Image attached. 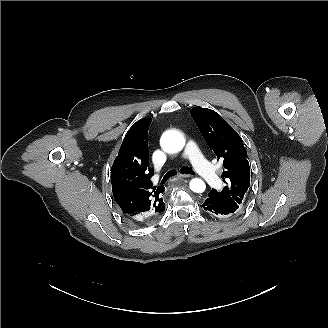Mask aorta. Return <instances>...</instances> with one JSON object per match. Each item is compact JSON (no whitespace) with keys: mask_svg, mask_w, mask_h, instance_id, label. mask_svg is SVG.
<instances>
[{"mask_svg":"<svg viewBox=\"0 0 328 328\" xmlns=\"http://www.w3.org/2000/svg\"><path fill=\"white\" fill-rule=\"evenodd\" d=\"M161 145L167 152H179L185 145V138L180 132L169 130L162 135ZM189 186L195 193H202L206 189L205 183L199 178L192 179Z\"/></svg>","mask_w":328,"mask_h":328,"instance_id":"762f6f07","label":"aorta"}]
</instances>
